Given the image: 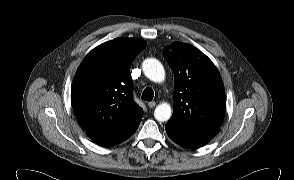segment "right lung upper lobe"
Returning a JSON list of instances; mask_svg holds the SVG:
<instances>
[{
  "label": "right lung upper lobe",
  "instance_id": "obj_1",
  "mask_svg": "<svg viewBox=\"0 0 294 180\" xmlns=\"http://www.w3.org/2000/svg\"><path fill=\"white\" fill-rule=\"evenodd\" d=\"M145 46L138 38H116L94 48L80 64L72 106L91 139L115 134L143 113L132 97L130 67Z\"/></svg>",
  "mask_w": 294,
  "mask_h": 180
}]
</instances>
